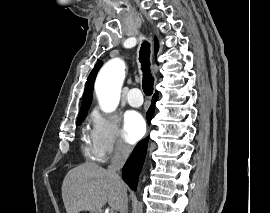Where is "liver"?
<instances>
[{
	"label": "liver",
	"mask_w": 270,
	"mask_h": 213,
	"mask_svg": "<svg viewBox=\"0 0 270 213\" xmlns=\"http://www.w3.org/2000/svg\"><path fill=\"white\" fill-rule=\"evenodd\" d=\"M126 192L127 187L122 180L94 163H84L71 169L62 184L66 213H101L107 202L111 209L120 211L121 198Z\"/></svg>",
	"instance_id": "obj_1"
}]
</instances>
